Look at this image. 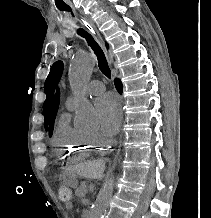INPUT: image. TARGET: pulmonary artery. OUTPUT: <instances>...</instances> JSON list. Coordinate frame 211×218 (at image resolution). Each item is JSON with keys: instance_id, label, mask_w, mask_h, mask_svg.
<instances>
[{"instance_id": "obj_1", "label": "pulmonary artery", "mask_w": 211, "mask_h": 218, "mask_svg": "<svg viewBox=\"0 0 211 218\" xmlns=\"http://www.w3.org/2000/svg\"><path fill=\"white\" fill-rule=\"evenodd\" d=\"M105 90V86L104 84L99 81V80H94L92 81L88 87H87V93L89 95H95V94H100L102 92H104ZM66 106L68 108H71L73 106V99L72 97H68L66 100Z\"/></svg>"}]
</instances>
